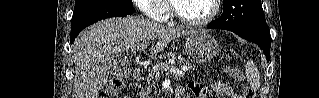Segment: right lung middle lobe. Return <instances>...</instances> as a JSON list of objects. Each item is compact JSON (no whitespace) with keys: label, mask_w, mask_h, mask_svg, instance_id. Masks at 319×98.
<instances>
[{"label":"right lung middle lobe","mask_w":319,"mask_h":98,"mask_svg":"<svg viewBox=\"0 0 319 98\" xmlns=\"http://www.w3.org/2000/svg\"><path fill=\"white\" fill-rule=\"evenodd\" d=\"M106 5L133 8L132 0H75L74 10Z\"/></svg>","instance_id":"obj_1"}]
</instances>
